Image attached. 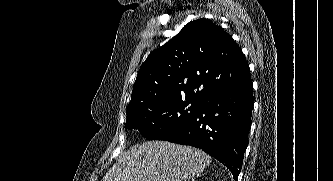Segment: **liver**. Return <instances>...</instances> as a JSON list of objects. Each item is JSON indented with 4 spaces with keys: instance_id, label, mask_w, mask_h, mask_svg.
I'll list each match as a JSON object with an SVG mask.
<instances>
[{
    "instance_id": "6515ba94",
    "label": "liver",
    "mask_w": 333,
    "mask_h": 181,
    "mask_svg": "<svg viewBox=\"0 0 333 181\" xmlns=\"http://www.w3.org/2000/svg\"><path fill=\"white\" fill-rule=\"evenodd\" d=\"M211 160L195 147L148 141L127 151L102 181H195Z\"/></svg>"
}]
</instances>
